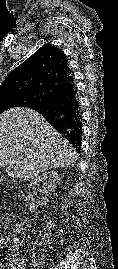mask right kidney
I'll return each instance as SVG.
<instances>
[{"label":"right kidney","instance_id":"obj_1","mask_svg":"<svg viewBox=\"0 0 118 269\" xmlns=\"http://www.w3.org/2000/svg\"><path fill=\"white\" fill-rule=\"evenodd\" d=\"M60 180H61V177L59 176L57 171L45 172L41 176H38L30 184L29 188L42 183L43 184V192L45 193L46 196H48V194L55 191L56 186L58 185ZM46 201H47V198H43V202L45 203ZM25 203L31 212L37 208V205L35 204V200L30 192L25 197Z\"/></svg>","mask_w":118,"mask_h":269}]
</instances>
